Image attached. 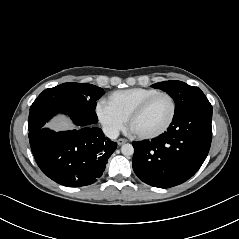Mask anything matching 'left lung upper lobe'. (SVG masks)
<instances>
[{
	"label": "left lung upper lobe",
	"instance_id": "5c2ea615",
	"mask_svg": "<svg viewBox=\"0 0 239 239\" xmlns=\"http://www.w3.org/2000/svg\"><path fill=\"white\" fill-rule=\"evenodd\" d=\"M152 87L167 92L175 101L174 117L183 112L201 106L211 105L204 93L184 82L171 80L153 84Z\"/></svg>",
	"mask_w": 239,
	"mask_h": 239
}]
</instances>
